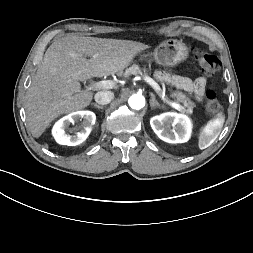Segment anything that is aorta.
I'll return each mask as SVG.
<instances>
[{
  "instance_id": "aorta-1",
  "label": "aorta",
  "mask_w": 253,
  "mask_h": 253,
  "mask_svg": "<svg viewBox=\"0 0 253 253\" xmlns=\"http://www.w3.org/2000/svg\"><path fill=\"white\" fill-rule=\"evenodd\" d=\"M128 103L132 109L140 110L145 106V98L141 94L132 95Z\"/></svg>"
}]
</instances>
